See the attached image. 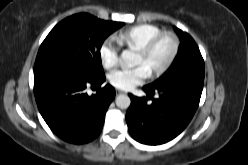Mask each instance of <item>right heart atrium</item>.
I'll list each match as a JSON object with an SVG mask.
<instances>
[{
	"mask_svg": "<svg viewBox=\"0 0 248 165\" xmlns=\"http://www.w3.org/2000/svg\"><path fill=\"white\" fill-rule=\"evenodd\" d=\"M100 61L104 68L113 69L119 61V49L111 38L104 40L99 48Z\"/></svg>",
	"mask_w": 248,
	"mask_h": 165,
	"instance_id": "right-heart-atrium-1",
	"label": "right heart atrium"
}]
</instances>
